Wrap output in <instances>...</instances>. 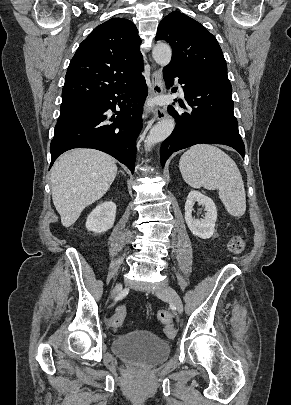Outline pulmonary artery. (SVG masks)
<instances>
[{
  "mask_svg": "<svg viewBox=\"0 0 291 405\" xmlns=\"http://www.w3.org/2000/svg\"><path fill=\"white\" fill-rule=\"evenodd\" d=\"M180 86V85H179ZM180 91L182 92V88H181V86H180Z\"/></svg>",
  "mask_w": 291,
  "mask_h": 405,
  "instance_id": "obj_1",
  "label": "pulmonary artery"
}]
</instances>
